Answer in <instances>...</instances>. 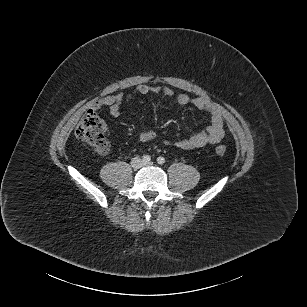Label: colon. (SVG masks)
Returning <instances> with one entry per match:
<instances>
[{
	"mask_svg": "<svg viewBox=\"0 0 307 307\" xmlns=\"http://www.w3.org/2000/svg\"><path fill=\"white\" fill-rule=\"evenodd\" d=\"M106 127L103 121L99 118L95 109H90L84 115L76 130V135L79 141L91 146L96 152L105 154L109 151L110 145L105 136ZM219 156H223L226 152L223 145H218L215 148Z\"/></svg>",
	"mask_w": 307,
	"mask_h": 307,
	"instance_id": "obj_1",
	"label": "colon"
}]
</instances>
